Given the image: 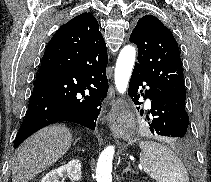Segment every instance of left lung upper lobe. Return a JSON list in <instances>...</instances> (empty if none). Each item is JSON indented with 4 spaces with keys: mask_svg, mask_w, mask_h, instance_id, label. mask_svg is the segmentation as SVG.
I'll use <instances>...</instances> for the list:
<instances>
[{
    "mask_svg": "<svg viewBox=\"0 0 211 182\" xmlns=\"http://www.w3.org/2000/svg\"><path fill=\"white\" fill-rule=\"evenodd\" d=\"M138 47L139 68L164 94L185 108L186 89L178 43L172 32L152 15L139 19L130 35Z\"/></svg>",
    "mask_w": 211,
    "mask_h": 182,
    "instance_id": "left-lung-upper-lobe-1",
    "label": "left lung upper lobe"
}]
</instances>
